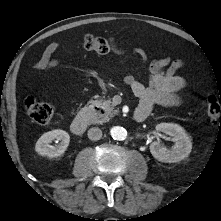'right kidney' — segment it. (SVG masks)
<instances>
[{
    "label": "right kidney",
    "mask_w": 221,
    "mask_h": 221,
    "mask_svg": "<svg viewBox=\"0 0 221 221\" xmlns=\"http://www.w3.org/2000/svg\"><path fill=\"white\" fill-rule=\"evenodd\" d=\"M53 140L61 141L56 146L50 145ZM70 142L69 134L60 129L44 133L36 142L35 150L41 156L49 158L61 156L67 149Z\"/></svg>",
    "instance_id": "right-kidney-1"
}]
</instances>
